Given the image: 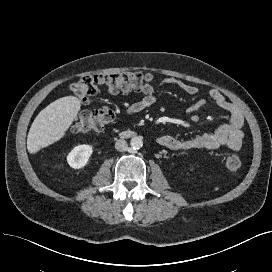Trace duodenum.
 Here are the masks:
<instances>
[{
    "mask_svg": "<svg viewBox=\"0 0 272 272\" xmlns=\"http://www.w3.org/2000/svg\"><path fill=\"white\" fill-rule=\"evenodd\" d=\"M122 135H124L125 137H133L135 135V133L133 131H123Z\"/></svg>",
    "mask_w": 272,
    "mask_h": 272,
    "instance_id": "1",
    "label": "duodenum"
}]
</instances>
